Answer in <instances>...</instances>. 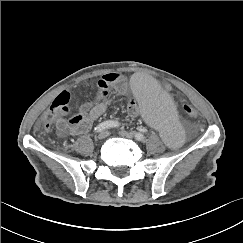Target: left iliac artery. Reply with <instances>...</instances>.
I'll return each instance as SVG.
<instances>
[{"label": "left iliac artery", "mask_w": 243, "mask_h": 243, "mask_svg": "<svg viewBox=\"0 0 243 243\" xmlns=\"http://www.w3.org/2000/svg\"><path fill=\"white\" fill-rule=\"evenodd\" d=\"M135 137H136V139H137L138 141H144V140H145V136H144L142 133H140V132H137V133L135 134Z\"/></svg>", "instance_id": "44dca946"}]
</instances>
